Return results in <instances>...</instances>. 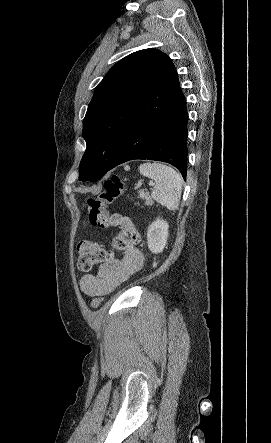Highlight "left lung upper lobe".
<instances>
[{
	"label": "left lung upper lobe",
	"mask_w": 271,
	"mask_h": 443,
	"mask_svg": "<svg viewBox=\"0 0 271 443\" xmlns=\"http://www.w3.org/2000/svg\"><path fill=\"white\" fill-rule=\"evenodd\" d=\"M170 62L157 49H143L108 71L96 87L83 121L87 148L80 162L79 180L95 182L109 171L134 113Z\"/></svg>",
	"instance_id": "left-lung-upper-lobe-1"
}]
</instances>
